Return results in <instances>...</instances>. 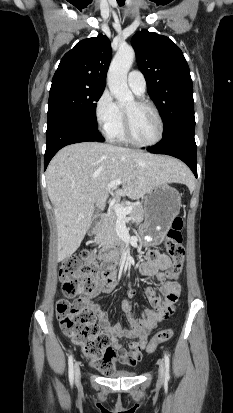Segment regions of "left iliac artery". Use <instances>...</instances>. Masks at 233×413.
I'll return each instance as SVG.
<instances>
[{
    "instance_id": "1",
    "label": "left iliac artery",
    "mask_w": 233,
    "mask_h": 413,
    "mask_svg": "<svg viewBox=\"0 0 233 413\" xmlns=\"http://www.w3.org/2000/svg\"><path fill=\"white\" fill-rule=\"evenodd\" d=\"M164 360H165V380L168 381L170 379V374H169L170 359L166 353L164 356Z\"/></svg>"
}]
</instances>
